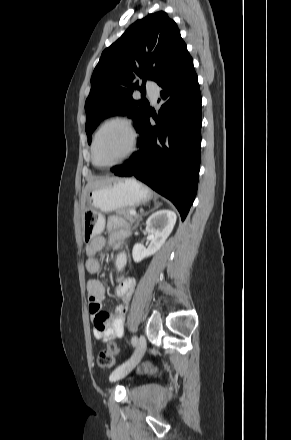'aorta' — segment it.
<instances>
[{
    "instance_id": "762f6f07",
    "label": "aorta",
    "mask_w": 291,
    "mask_h": 440,
    "mask_svg": "<svg viewBox=\"0 0 291 440\" xmlns=\"http://www.w3.org/2000/svg\"><path fill=\"white\" fill-rule=\"evenodd\" d=\"M118 260H119V262H120L121 265H124L125 262H126L125 254H124V253L120 254Z\"/></svg>"
}]
</instances>
